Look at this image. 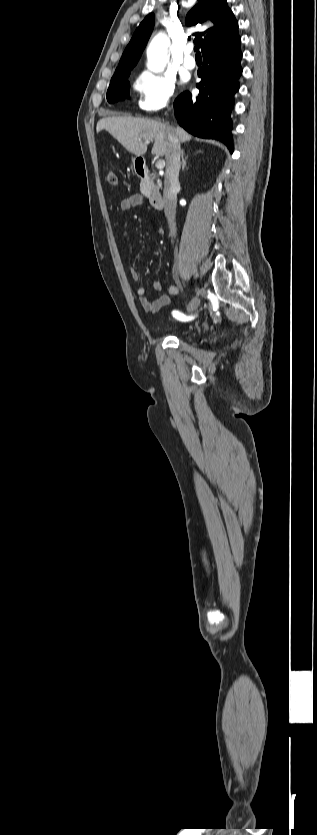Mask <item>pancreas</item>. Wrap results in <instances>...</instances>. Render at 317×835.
Segmentation results:
<instances>
[{
	"instance_id": "1",
	"label": "pancreas",
	"mask_w": 317,
	"mask_h": 835,
	"mask_svg": "<svg viewBox=\"0 0 317 835\" xmlns=\"http://www.w3.org/2000/svg\"><path fill=\"white\" fill-rule=\"evenodd\" d=\"M160 187V180H158L157 185H154L148 179H145L141 182V193L152 202L158 195Z\"/></svg>"
}]
</instances>
